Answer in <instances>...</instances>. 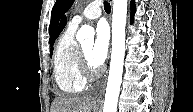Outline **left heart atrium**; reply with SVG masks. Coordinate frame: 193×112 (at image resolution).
Returning a JSON list of instances; mask_svg holds the SVG:
<instances>
[{
	"label": "left heart atrium",
	"mask_w": 193,
	"mask_h": 112,
	"mask_svg": "<svg viewBox=\"0 0 193 112\" xmlns=\"http://www.w3.org/2000/svg\"><path fill=\"white\" fill-rule=\"evenodd\" d=\"M109 30L105 23L101 22L96 28V39L92 47L91 58L98 67L102 65L108 55L109 50Z\"/></svg>",
	"instance_id": "left-heart-atrium-1"
}]
</instances>
